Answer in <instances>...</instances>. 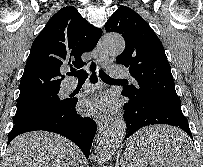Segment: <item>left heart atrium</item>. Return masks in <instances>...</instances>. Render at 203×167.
Here are the masks:
<instances>
[{"label":"left heart atrium","instance_id":"1","mask_svg":"<svg viewBox=\"0 0 203 167\" xmlns=\"http://www.w3.org/2000/svg\"><path fill=\"white\" fill-rule=\"evenodd\" d=\"M115 108V100L108 94L93 96L81 103V109L84 113L103 117L112 114Z\"/></svg>","mask_w":203,"mask_h":167}]
</instances>
